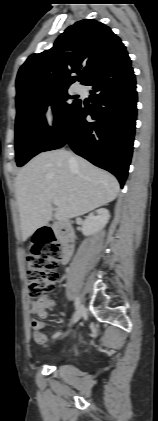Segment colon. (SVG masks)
Here are the masks:
<instances>
[{
	"label": "colon",
	"instance_id": "5ec220e1",
	"mask_svg": "<svg viewBox=\"0 0 158 421\" xmlns=\"http://www.w3.org/2000/svg\"><path fill=\"white\" fill-rule=\"evenodd\" d=\"M62 257V249L51 233L40 230L27 255V277L29 297L33 302L47 300L57 284V262Z\"/></svg>",
	"mask_w": 158,
	"mask_h": 421
}]
</instances>
